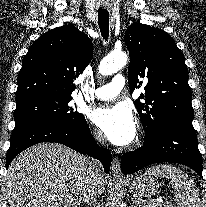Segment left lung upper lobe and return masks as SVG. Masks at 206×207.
<instances>
[{
  "mask_svg": "<svg viewBox=\"0 0 206 207\" xmlns=\"http://www.w3.org/2000/svg\"><path fill=\"white\" fill-rule=\"evenodd\" d=\"M130 54V90L146 84L145 93L135 101L136 109L151 137L175 121H192L191 89L185 59L173 38L163 30L134 23L125 32Z\"/></svg>",
  "mask_w": 206,
  "mask_h": 207,
  "instance_id": "5c2ea615",
  "label": "left lung upper lobe"
}]
</instances>
